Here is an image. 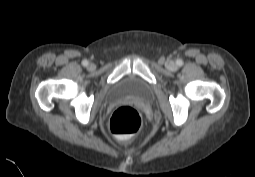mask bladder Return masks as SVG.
Masks as SVG:
<instances>
[{
  "label": "bladder",
  "instance_id": "31cf9c89",
  "mask_svg": "<svg viewBox=\"0 0 255 177\" xmlns=\"http://www.w3.org/2000/svg\"><path fill=\"white\" fill-rule=\"evenodd\" d=\"M123 98H134L141 102H148L152 98V87L137 75L124 76L110 87L106 95L108 101Z\"/></svg>",
  "mask_w": 255,
  "mask_h": 177
}]
</instances>
